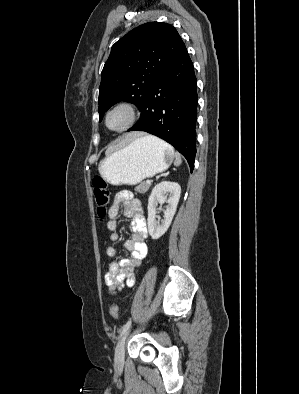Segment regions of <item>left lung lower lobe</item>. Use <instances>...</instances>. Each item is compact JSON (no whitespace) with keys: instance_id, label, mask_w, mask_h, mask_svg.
I'll use <instances>...</instances> for the list:
<instances>
[{"instance_id":"obj_1","label":"left lung lower lobe","mask_w":299,"mask_h":394,"mask_svg":"<svg viewBox=\"0 0 299 394\" xmlns=\"http://www.w3.org/2000/svg\"><path fill=\"white\" fill-rule=\"evenodd\" d=\"M197 79L185 48L150 87L139 121L128 131H146L174 146L191 172L196 154Z\"/></svg>"}]
</instances>
